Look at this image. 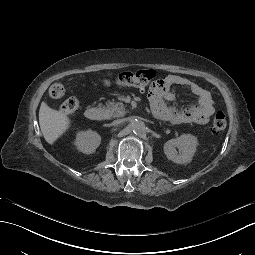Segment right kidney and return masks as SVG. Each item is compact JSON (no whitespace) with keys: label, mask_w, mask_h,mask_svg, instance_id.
Instances as JSON below:
<instances>
[{"label":"right kidney","mask_w":255,"mask_h":255,"mask_svg":"<svg viewBox=\"0 0 255 255\" xmlns=\"http://www.w3.org/2000/svg\"><path fill=\"white\" fill-rule=\"evenodd\" d=\"M100 142V136L96 132L89 130L78 134L76 145L82 152L91 154L100 145Z\"/></svg>","instance_id":"right-kidney-1"}]
</instances>
